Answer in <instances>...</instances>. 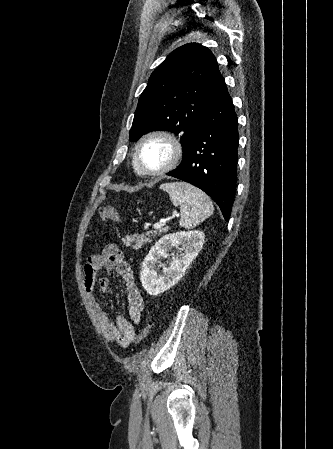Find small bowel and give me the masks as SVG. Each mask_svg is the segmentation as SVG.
I'll return each instance as SVG.
<instances>
[{
	"label": "small bowel",
	"mask_w": 333,
	"mask_h": 449,
	"mask_svg": "<svg viewBox=\"0 0 333 449\" xmlns=\"http://www.w3.org/2000/svg\"><path fill=\"white\" fill-rule=\"evenodd\" d=\"M104 268L115 270L124 282L129 318L119 314L112 320L95 297L96 283L104 293H107L110 288L109 278L97 279L98 272ZM84 286L88 293L90 307L104 336L122 347L130 345L135 340L136 326L141 321L144 303L133 270L115 244H107L100 254L88 258L84 266Z\"/></svg>",
	"instance_id": "1"
}]
</instances>
